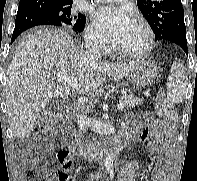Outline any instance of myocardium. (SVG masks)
I'll use <instances>...</instances> for the list:
<instances>
[{
	"mask_svg": "<svg viewBox=\"0 0 197 181\" xmlns=\"http://www.w3.org/2000/svg\"><path fill=\"white\" fill-rule=\"evenodd\" d=\"M133 21L144 29L147 37L145 45L139 50H129L122 48L115 43L113 49L124 56L139 58L147 55L152 50L155 43V34L150 24L142 17H135Z\"/></svg>",
	"mask_w": 197,
	"mask_h": 181,
	"instance_id": "f54148a6",
	"label": "myocardium"
}]
</instances>
